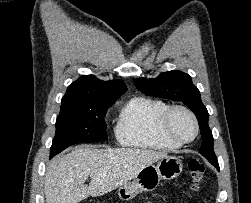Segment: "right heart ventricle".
Returning <instances> with one entry per match:
<instances>
[{"mask_svg": "<svg viewBox=\"0 0 251 203\" xmlns=\"http://www.w3.org/2000/svg\"><path fill=\"white\" fill-rule=\"evenodd\" d=\"M169 105L147 97L130 99L122 108L115 129L120 145L145 150L170 151L180 147L164 137L160 119Z\"/></svg>", "mask_w": 251, "mask_h": 203, "instance_id": "obj_1", "label": "right heart ventricle"}]
</instances>
